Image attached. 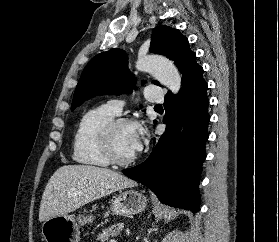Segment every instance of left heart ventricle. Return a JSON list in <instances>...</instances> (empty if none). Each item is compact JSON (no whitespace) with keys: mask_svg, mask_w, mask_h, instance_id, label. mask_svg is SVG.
Returning a JSON list of instances; mask_svg holds the SVG:
<instances>
[{"mask_svg":"<svg viewBox=\"0 0 279 242\" xmlns=\"http://www.w3.org/2000/svg\"><path fill=\"white\" fill-rule=\"evenodd\" d=\"M136 126L124 125L117 129L114 136V147L117 155L121 158L133 156L135 151Z\"/></svg>","mask_w":279,"mask_h":242,"instance_id":"b2bd125f","label":"left heart ventricle"}]
</instances>
